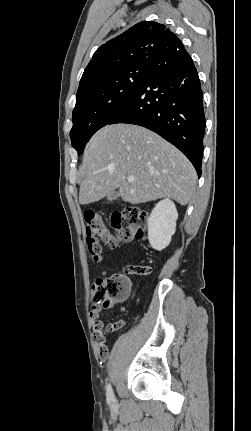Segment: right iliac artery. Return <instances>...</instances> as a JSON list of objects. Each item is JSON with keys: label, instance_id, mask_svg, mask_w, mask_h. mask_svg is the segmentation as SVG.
Returning <instances> with one entry per match:
<instances>
[{"label": "right iliac artery", "instance_id": "right-iliac-artery-1", "mask_svg": "<svg viewBox=\"0 0 251 431\" xmlns=\"http://www.w3.org/2000/svg\"><path fill=\"white\" fill-rule=\"evenodd\" d=\"M106 395H107L108 401L114 400V393L110 384L107 385Z\"/></svg>", "mask_w": 251, "mask_h": 431}]
</instances>
